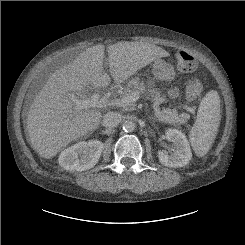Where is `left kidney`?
<instances>
[{
  "instance_id": "1",
  "label": "left kidney",
  "mask_w": 245,
  "mask_h": 245,
  "mask_svg": "<svg viewBox=\"0 0 245 245\" xmlns=\"http://www.w3.org/2000/svg\"><path fill=\"white\" fill-rule=\"evenodd\" d=\"M166 139L174 143L175 150L169 155L166 151H159L158 158L161 164L167 167H183L191 160L192 153L189 142L180 130L169 128L165 132Z\"/></svg>"
}]
</instances>
